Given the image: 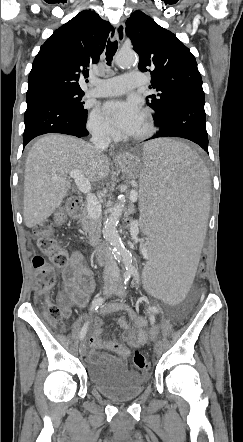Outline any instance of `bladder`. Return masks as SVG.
<instances>
[{"label":"bladder","instance_id":"obj_1","mask_svg":"<svg viewBox=\"0 0 243 442\" xmlns=\"http://www.w3.org/2000/svg\"><path fill=\"white\" fill-rule=\"evenodd\" d=\"M87 375L93 387L113 401L139 397L148 381L146 375L121 365L118 359L106 354H98L89 360Z\"/></svg>","mask_w":243,"mask_h":442}]
</instances>
